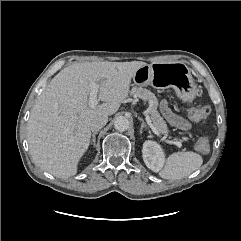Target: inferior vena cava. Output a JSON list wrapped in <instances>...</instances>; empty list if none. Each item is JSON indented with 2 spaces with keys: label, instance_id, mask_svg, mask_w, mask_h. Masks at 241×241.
Returning a JSON list of instances; mask_svg holds the SVG:
<instances>
[{
  "label": "inferior vena cava",
  "instance_id": "inferior-vena-cava-1",
  "mask_svg": "<svg viewBox=\"0 0 241 241\" xmlns=\"http://www.w3.org/2000/svg\"><path fill=\"white\" fill-rule=\"evenodd\" d=\"M108 122V117L106 115H101L94 118L90 123V128L93 132L99 131L103 128Z\"/></svg>",
  "mask_w": 241,
  "mask_h": 241
}]
</instances>
